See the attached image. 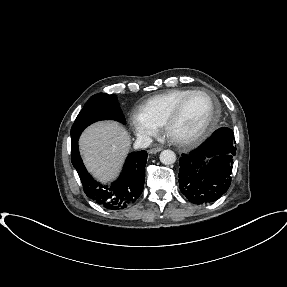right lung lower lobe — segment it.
<instances>
[{
	"mask_svg": "<svg viewBox=\"0 0 287 287\" xmlns=\"http://www.w3.org/2000/svg\"><path fill=\"white\" fill-rule=\"evenodd\" d=\"M78 139L71 142V161L85 194L108 210H120L134 203L143 191L147 152L130 153L119 178L111 186H103L87 172L79 154Z\"/></svg>",
	"mask_w": 287,
	"mask_h": 287,
	"instance_id": "right-lung-lower-lobe-1",
	"label": "right lung lower lobe"
}]
</instances>
